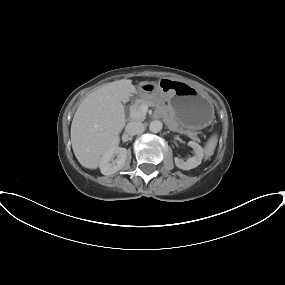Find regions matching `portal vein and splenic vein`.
<instances>
[{"label": "portal vein and splenic vein", "mask_w": 285, "mask_h": 285, "mask_svg": "<svg viewBox=\"0 0 285 285\" xmlns=\"http://www.w3.org/2000/svg\"><path fill=\"white\" fill-rule=\"evenodd\" d=\"M148 111L147 105H142L139 111L131 110V115L134 117L145 116Z\"/></svg>", "instance_id": "1"}]
</instances>
